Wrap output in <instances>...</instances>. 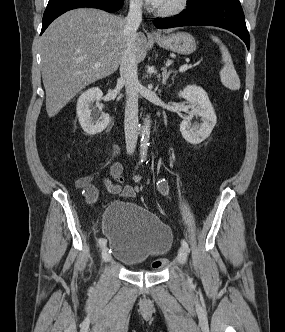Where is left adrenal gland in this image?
I'll return each instance as SVG.
<instances>
[{
	"label": "left adrenal gland",
	"mask_w": 285,
	"mask_h": 332,
	"mask_svg": "<svg viewBox=\"0 0 285 332\" xmlns=\"http://www.w3.org/2000/svg\"><path fill=\"white\" fill-rule=\"evenodd\" d=\"M171 73H175L176 74V71H174V70L167 71L166 67L162 68V84L163 85H166L167 80H168V78H169V76H170Z\"/></svg>",
	"instance_id": "obj_1"
}]
</instances>
